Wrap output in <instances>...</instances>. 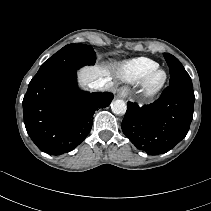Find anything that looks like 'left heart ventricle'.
<instances>
[{"mask_svg":"<svg viewBox=\"0 0 211 211\" xmlns=\"http://www.w3.org/2000/svg\"><path fill=\"white\" fill-rule=\"evenodd\" d=\"M161 77H162V75L160 74V75L157 76V79H160Z\"/></svg>","mask_w":211,"mask_h":211,"instance_id":"left-heart-ventricle-1","label":"left heart ventricle"}]
</instances>
